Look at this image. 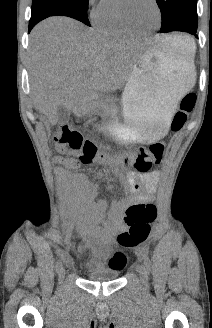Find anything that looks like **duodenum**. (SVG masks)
<instances>
[{
    "mask_svg": "<svg viewBox=\"0 0 212 328\" xmlns=\"http://www.w3.org/2000/svg\"><path fill=\"white\" fill-rule=\"evenodd\" d=\"M91 100L90 94H83L75 103L74 105V112L75 113H81L84 109L85 104Z\"/></svg>",
    "mask_w": 212,
    "mask_h": 328,
    "instance_id": "duodenum-1",
    "label": "duodenum"
}]
</instances>
